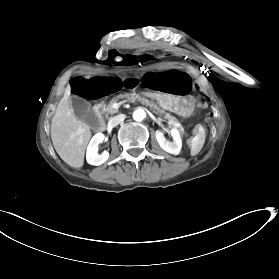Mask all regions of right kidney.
<instances>
[{
	"mask_svg": "<svg viewBox=\"0 0 279 279\" xmlns=\"http://www.w3.org/2000/svg\"><path fill=\"white\" fill-rule=\"evenodd\" d=\"M104 138V134L97 133L91 139L86 152V159L89 164L98 166L109 158V153L107 151L98 154V145L103 142Z\"/></svg>",
	"mask_w": 279,
	"mask_h": 279,
	"instance_id": "right-kidney-1",
	"label": "right kidney"
}]
</instances>
